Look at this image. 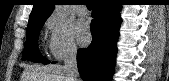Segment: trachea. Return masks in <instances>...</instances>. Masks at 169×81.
Listing matches in <instances>:
<instances>
[{"label": "trachea", "mask_w": 169, "mask_h": 81, "mask_svg": "<svg viewBox=\"0 0 169 81\" xmlns=\"http://www.w3.org/2000/svg\"><path fill=\"white\" fill-rule=\"evenodd\" d=\"M85 4L84 5H86L87 6V8H92L93 7V4H92V2L91 1H86V2H84Z\"/></svg>", "instance_id": "1"}]
</instances>
